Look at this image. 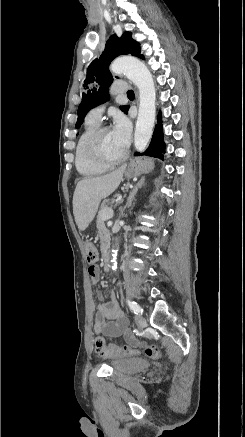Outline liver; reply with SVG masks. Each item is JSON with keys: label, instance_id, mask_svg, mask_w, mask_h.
Instances as JSON below:
<instances>
[{"label": "liver", "instance_id": "obj_1", "mask_svg": "<svg viewBox=\"0 0 245 437\" xmlns=\"http://www.w3.org/2000/svg\"><path fill=\"white\" fill-rule=\"evenodd\" d=\"M125 166L99 177L84 178L77 183L73 195V214L79 231L93 221L102 199L112 194L123 178Z\"/></svg>", "mask_w": 245, "mask_h": 437}]
</instances>
